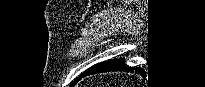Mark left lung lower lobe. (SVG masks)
Instances as JSON below:
<instances>
[{"mask_svg":"<svg viewBox=\"0 0 205 87\" xmlns=\"http://www.w3.org/2000/svg\"><path fill=\"white\" fill-rule=\"evenodd\" d=\"M136 71L137 72V68H132L129 67L127 65L123 64V60L121 59H114V60H110V61H106V62H102V63H98L96 65L91 66L89 69H87L84 73H82L77 81L73 84V86L82 78L88 75H92V74H96V73H103V72H110V71Z\"/></svg>","mask_w":205,"mask_h":87,"instance_id":"0a47b994","label":"left lung lower lobe"}]
</instances>
